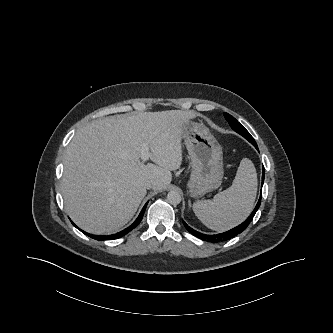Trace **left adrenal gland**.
Returning a JSON list of instances; mask_svg holds the SVG:
<instances>
[{"instance_id": "a2214340", "label": "left adrenal gland", "mask_w": 333, "mask_h": 333, "mask_svg": "<svg viewBox=\"0 0 333 333\" xmlns=\"http://www.w3.org/2000/svg\"><path fill=\"white\" fill-rule=\"evenodd\" d=\"M188 205H189V208H191V201L190 200L188 201Z\"/></svg>"}]
</instances>
